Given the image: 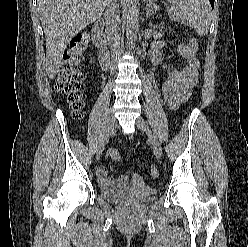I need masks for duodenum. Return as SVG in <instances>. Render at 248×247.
Segmentation results:
<instances>
[{"mask_svg": "<svg viewBox=\"0 0 248 247\" xmlns=\"http://www.w3.org/2000/svg\"><path fill=\"white\" fill-rule=\"evenodd\" d=\"M104 24L102 21L96 22L92 27V35L96 44V47L99 51V58L101 66L104 69H108L110 65V52L106 45V38L103 33Z\"/></svg>", "mask_w": 248, "mask_h": 247, "instance_id": "duodenum-1", "label": "duodenum"}]
</instances>
